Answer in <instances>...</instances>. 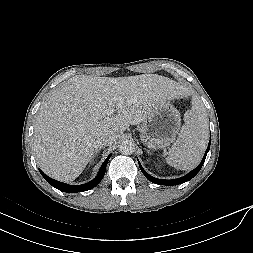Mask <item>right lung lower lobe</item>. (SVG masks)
Wrapping results in <instances>:
<instances>
[{"label":"right lung lower lobe","instance_id":"98d812e1","mask_svg":"<svg viewBox=\"0 0 253 253\" xmlns=\"http://www.w3.org/2000/svg\"><path fill=\"white\" fill-rule=\"evenodd\" d=\"M111 154L106 158V160L103 162L98 175L90 182L82 184V185H68L59 181H56L50 177H48L46 174H44L41 170L40 173L44 177V179L53 187L57 188L60 191L67 192V193H72V192H83L90 190L94 188L98 183L102 180V178L105 175L106 171V164L110 158Z\"/></svg>","mask_w":253,"mask_h":253}]
</instances>
